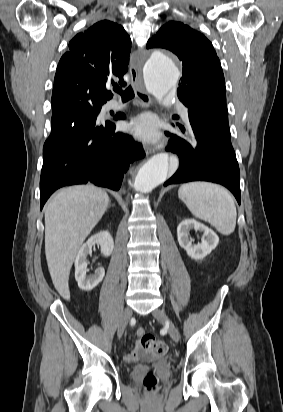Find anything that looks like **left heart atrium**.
Masks as SVG:
<instances>
[{"label": "left heart atrium", "mask_w": 283, "mask_h": 412, "mask_svg": "<svg viewBox=\"0 0 283 412\" xmlns=\"http://www.w3.org/2000/svg\"><path fill=\"white\" fill-rule=\"evenodd\" d=\"M127 131L144 143H155L159 139L157 121L151 115L136 117L128 124Z\"/></svg>", "instance_id": "39dd6f15"}]
</instances>
